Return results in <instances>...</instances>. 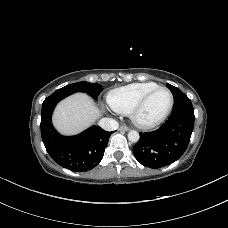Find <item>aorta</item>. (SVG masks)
Listing matches in <instances>:
<instances>
[{
  "instance_id": "aorta-1",
  "label": "aorta",
  "mask_w": 228,
  "mask_h": 228,
  "mask_svg": "<svg viewBox=\"0 0 228 228\" xmlns=\"http://www.w3.org/2000/svg\"><path fill=\"white\" fill-rule=\"evenodd\" d=\"M139 133L137 132V131H135V130H131V131H129V133H128V139H129V141H131V142H138V140H139Z\"/></svg>"
}]
</instances>
